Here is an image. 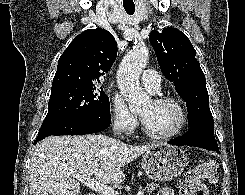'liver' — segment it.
Masks as SVG:
<instances>
[{
    "label": "liver",
    "instance_id": "1",
    "mask_svg": "<svg viewBox=\"0 0 245 195\" xmlns=\"http://www.w3.org/2000/svg\"><path fill=\"white\" fill-rule=\"evenodd\" d=\"M158 145L131 146L101 134L47 137L31 159L30 195H77L76 174L120 184L125 179L122 167Z\"/></svg>",
    "mask_w": 245,
    "mask_h": 195
}]
</instances>
